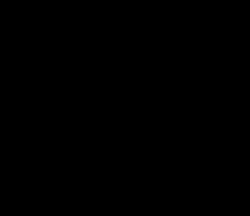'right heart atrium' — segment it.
I'll return each mask as SVG.
<instances>
[{
  "label": "right heart atrium",
  "instance_id": "1",
  "mask_svg": "<svg viewBox=\"0 0 250 216\" xmlns=\"http://www.w3.org/2000/svg\"><path fill=\"white\" fill-rule=\"evenodd\" d=\"M105 82L109 87L117 88L122 82V71L115 64H108L104 70Z\"/></svg>",
  "mask_w": 250,
  "mask_h": 216
}]
</instances>
